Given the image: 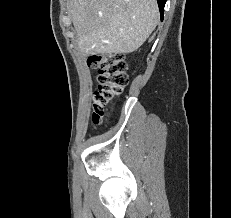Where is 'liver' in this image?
I'll use <instances>...</instances> for the list:
<instances>
[{
  "label": "liver",
  "mask_w": 231,
  "mask_h": 218,
  "mask_svg": "<svg viewBox=\"0 0 231 218\" xmlns=\"http://www.w3.org/2000/svg\"><path fill=\"white\" fill-rule=\"evenodd\" d=\"M69 8L84 56L131 53L159 19L156 0H69Z\"/></svg>",
  "instance_id": "6515ba94"
}]
</instances>
